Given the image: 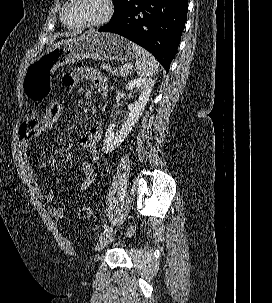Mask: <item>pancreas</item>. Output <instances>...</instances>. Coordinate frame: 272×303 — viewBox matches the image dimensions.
Returning a JSON list of instances; mask_svg holds the SVG:
<instances>
[{"mask_svg": "<svg viewBox=\"0 0 272 303\" xmlns=\"http://www.w3.org/2000/svg\"><path fill=\"white\" fill-rule=\"evenodd\" d=\"M129 74H131V69H125L123 67H118L117 69L114 70V75L120 76V77H127Z\"/></svg>", "mask_w": 272, "mask_h": 303, "instance_id": "pancreas-1", "label": "pancreas"}]
</instances>
